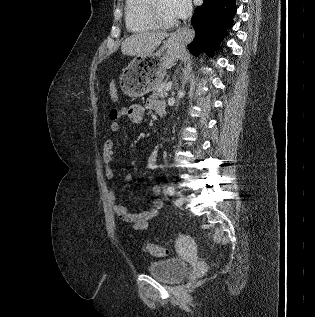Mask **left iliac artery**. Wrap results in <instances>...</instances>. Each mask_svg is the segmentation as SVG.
I'll use <instances>...</instances> for the list:
<instances>
[{
    "instance_id": "left-iliac-artery-1",
    "label": "left iliac artery",
    "mask_w": 315,
    "mask_h": 317,
    "mask_svg": "<svg viewBox=\"0 0 315 317\" xmlns=\"http://www.w3.org/2000/svg\"><path fill=\"white\" fill-rule=\"evenodd\" d=\"M174 192H175V189H174L173 186H168V187H167V193H168L169 195H173Z\"/></svg>"
}]
</instances>
